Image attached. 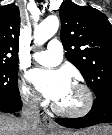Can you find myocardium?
I'll use <instances>...</instances> for the list:
<instances>
[{"label": "myocardium", "mask_w": 112, "mask_h": 135, "mask_svg": "<svg viewBox=\"0 0 112 135\" xmlns=\"http://www.w3.org/2000/svg\"><path fill=\"white\" fill-rule=\"evenodd\" d=\"M73 86H75L76 88H78L79 90L83 92L84 94L83 106L77 110H66V109L61 108L57 103H54L53 109L59 115H62L68 118H81L89 114L90 111L92 110L93 105H94V98H93L92 91L87 85L81 82H75L73 83Z\"/></svg>", "instance_id": "myocardium-1"}]
</instances>
